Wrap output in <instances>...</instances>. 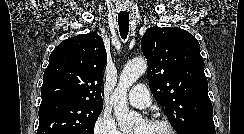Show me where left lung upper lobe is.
I'll return each instance as SVG.
<instances>
[{"mask_svg":"<svg viewBox=\"0 0 244 134\" xmlns=\"http://www.w3.org/2000/svg\"><path fill=\"white\" fill-rule=\"evenodd\" d=\"M141 49L153 96L177 134L215 129L204 60L195 37L180 28L151 27L142 37Z\"/></svg>","mask_w":244,"mask_h":134,"instance_id":"5c2ea615","label":"left lung upper lobe"}]
</instances>
